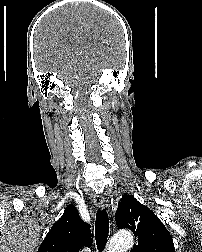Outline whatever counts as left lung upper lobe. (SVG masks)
<instances>
[{"label":"left lung upper lobe","instance_id":"obj_1","mask_svg":"<svg viewBox=\"0 0 202 252\" xmlns=\"http://www.w3.org/2000/svg\"><path fill=\"white\" fill-rule=\"evenodd\" d=\"M119 228H128L137 238L131 252H175L171 235L160 219L132 195L124 194L116 212Z\"/></svg>","mask_w":202,"mask_h":252}]
</instances>
